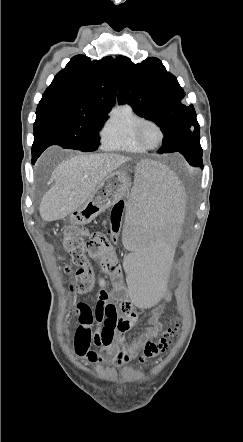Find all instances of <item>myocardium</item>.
<instances>
[{
	"mask_svg": "<svg viewBox=\"0 0 243 442\" xmlns=\"http://www.w3.org/2000/svg\"><path fill=\"white\" fill-rule=\"evenodd\" d=\"M146 124H153V125L158 129V131H159L160 138H159L158 143L155 144V145H148V144H146V143L144 142V140L142 139L141 131H142V128H143ZM135 137H136V140L138 141V143H139L143 148H145L146 150H153V149L158 148V147L163 143V141H164V139H165V131H164L162 125H161L157 120H155V119H153V118L143 117V118L137 123V125H136V128H135Z\"/></svg>",
	"mask_w": 243,
	"mask_h": 442,
	"instance_id": "obj_1",
	"label": "myocardium"
}]
</instances>
